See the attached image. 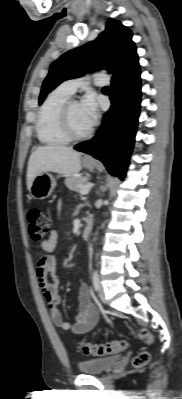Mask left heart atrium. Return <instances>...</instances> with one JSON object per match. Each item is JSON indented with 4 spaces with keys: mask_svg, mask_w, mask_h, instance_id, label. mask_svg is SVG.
<instances>
[{
    "mask_svg": "<svg viewBox=\"0 0 182 399\" xmlns=\"http://www.w3.org/2000/svg\"><path fill=\"white\" fill-rule=\"evenodd\" d=\"M81 110L90 125H93L98 118V105L93 94L86 95L80 103Z\"/></svg>",
    "mask_w": 182,
    "mask_h": 399,
    "instance_id": "obj_1",
    "label": "left heart atrium"
}]
</instances>
